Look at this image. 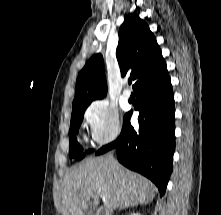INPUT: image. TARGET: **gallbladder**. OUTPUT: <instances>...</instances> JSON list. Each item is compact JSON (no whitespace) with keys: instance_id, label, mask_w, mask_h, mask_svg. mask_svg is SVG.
<instances>
[{"instance_id":"obj_1","label":"gallbladder","mask_w":221,"mask_h":215,"mask_svg":"<svg viewBox=\"0 0 221 215\" xmlns=\"http://www.w3.org/2000/svg\"><path fill=\"white\" fill-rule=\"evenodd\" d=\"M95 205L89 202L87 208L84 210L83 215H95Z\"/></svg>"}]
</instances>
